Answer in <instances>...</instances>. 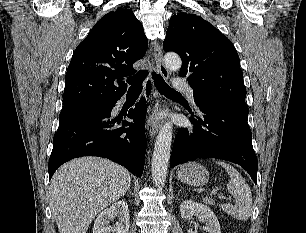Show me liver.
I'll use <instances>...</instances> for the list:
<instances>
[{"label":"liver","instance_id":"liver-1","mask_svg":"<svg viewBox=\"0 0 306 233\" xmlns=\"http://www.w3.org/2000/svg\"><path fill=\"white\" fill-rule=\"evenodd\" d=\"M131 177L104 158L82 157L61 166L51 179L49 200L60 233H86L95 216L120 199Z\"/></svg>","mask_w":306,"mask_h":233}]
</instances>
